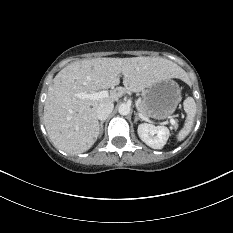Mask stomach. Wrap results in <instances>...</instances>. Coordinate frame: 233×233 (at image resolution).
<instances>
[{
	"label": "stomach",
	"mask_w": 233,
	"mask_h": 233,
	"mask_svg": "<svg viewBox=\"0 0 233 233\" xmlns=\"http://www.w3.org/2000/svg\"><path fill=\"white\" fill-rule=\"evenodd\" d=\"M180 99V88L174 80L156 82L144 90L143 106L146 116L158 120L166 119L174 113Z\"/></svg>",
	"instance_id": "stomach-1"
}]
</instances>
